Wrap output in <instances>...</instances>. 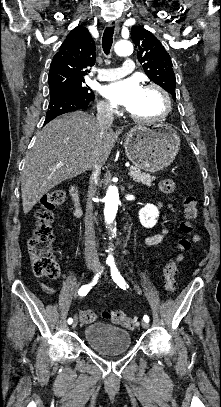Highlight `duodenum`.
<instances>
[{
    "instance_id": "1",
    "label": "duodenum",
    "mask_w": 221,
    "mask_h": 407,
    "mask_svg": "<svg viewBox=\"0 0 221 407\" xmlns=\"http://www.w3.org/2000/svg\"><path fill=\"white\" fill-rule=\"evenodd\" d=\"M71 198L74 207V215L76 217H80L83 214V208L81 206V200L79 197L78 188L76 186L71 188Z\"/></svg>"
}]
</instances>
